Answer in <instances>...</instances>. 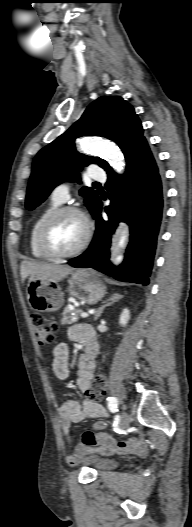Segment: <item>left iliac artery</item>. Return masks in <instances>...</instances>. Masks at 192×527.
<instances>
[{
    "label": "left iliac artery",
    "instance_id": "left-iliac-artery-1",
    "mask_svg": "<svg viewBox=\"0 0 192 527\" xmlns=\"http://www.w3.org/2000/svg\"><path fill=\"white\" fill-rule=\"evenodd\" d=\"M108 408L112 413L118 412V399L116 397H108Z\"/></svg>",
    "mask_w": 192,
    "mask_h": 527
}]
</instances>
